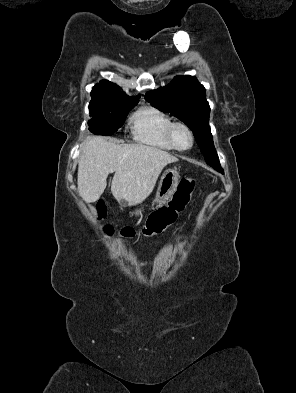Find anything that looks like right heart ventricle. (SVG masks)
Segmentation results:
<instances>
[{"label":"right heart ventricle","instance_id":"obj_1","mask_svg":"<svg viewBox=\"0 0 296 393\" xmlns=\"http://www.w3.org/2000/svg\"><path fill=\"white\" fill-rule=\"evenodd\" d=\"M132 134L136 141L162 150H174L168 140L172 118L163 110L146 106L133 114Z\"/></svg>","mask_w":296,"mask_h":393}]
</instances>
